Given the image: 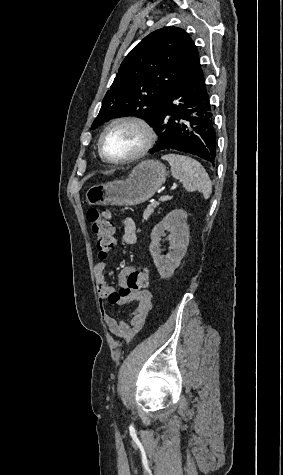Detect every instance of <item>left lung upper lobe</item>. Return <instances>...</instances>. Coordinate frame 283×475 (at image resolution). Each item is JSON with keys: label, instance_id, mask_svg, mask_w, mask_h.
<instances>
[{"label": "left lung upper lobe", "instance_id": "5c2ea615", "mask_svg": "<svg viewBox=\"0 0 283 475\" xmlns=\"http://www.w3.org/2000/svg\"><path fill=\"white\" fill-rule=\"evenodd\" d=\"M199 67L197 47L183 29L150 33L123 60L92 128L122 116L140 117L151 125L169 90Z\"/></svg>", "mask_w": 283, "mask_h": 475}]
</instances>
